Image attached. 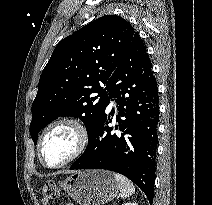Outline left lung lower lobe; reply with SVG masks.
<instances>
[{"label": "left lung lower lobe", "instance_id": "1", "mask_svg": "<svg viewBox=\"0 0 212 205\" xmlns=\"http://www.w3.org/2000/svg\"><path fill=\"white\" fill-rule=\"evenodd\" d=\"M107 85L109 98H116L115 129L119 131L116 133L108 126L114 109L110 113L105 111L93 127L86 150L70 169L120 173L134 182L152 204L159 100L152 64L138 33L134 34Z\"/></svg>", "mask_w": 212, "mask_h": 205}]
</instances>
